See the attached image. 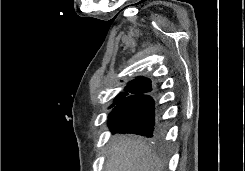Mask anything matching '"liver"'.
<instances>
[{
    "mask_svg": "<svg viewBox=\"0 0 245 171\" xmlns=\"http://www.w3.org/2000/svg\"><path fill=\"white\" fill-rule=\"evenodd\" d=\"M108 154L105 171H163L164 168V162L141 137L120 138Z\"/></svg>",
    "mask_w": 245,
    "mask_h": 171,
    "instance_id": "1",
    "label": "liver"
}]
</instances>
